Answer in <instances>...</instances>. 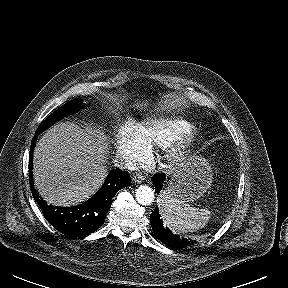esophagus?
Listing matches in <instances>:
<instances>
[{
	"mask_svg": "<svg viewBox=\"0 0 288 288\" xmlns=\"http://www.w3.org/2000/svg\"><path fill=\"white\" fill-rule=\"evenodd\" d=\"M144 180V176L141 174H133L132 181L133 183L140 184Z\"/></svg>",
	"mask_w": 288,
	"mask_h": 288,
	"instance_id": "obj_1",
	"label": "esophagus"
}]
</instances>
